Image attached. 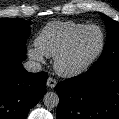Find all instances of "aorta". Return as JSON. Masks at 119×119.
<instances>
[{
    "instance_id": "1",
    "label": "aorta",
    "mask_w": 119,
    "mask_h": 119,
    "mask_svg": "<svg viewBox=\"0 0 119 119\" xmlns=\"http://www.w3.org/2000/svg\"><path fill=\"white\" fill-rule=\"evenodd\" d=\"M43 103L47 108L57 107L59 104V96L55 92H47L43 97Z\"/></svg>"
}]
</instances>
